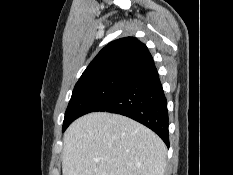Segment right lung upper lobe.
<instances>
[{"instance_id":"cb5924a9","label":"right lung upper lobe","mask_w":233,"mask_h":175,"mask_svg":"<svg viewBox=\"0 0 233 175\" xmlns=\"http://www.w3.org/2000/svg\"><path fill=\"white\" fill-rule=\"evenodd\" d=\"M154 67L153 58L145 44L136 38L126 37L105 46L88 65L79 81L105 75L135 78Z\"/></svg>"}]
</instances>
